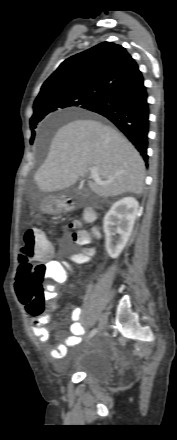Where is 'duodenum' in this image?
Returning <instances> with one entry per match:
<instances>
[{"label": "duodenum", "mask_w": 177, "mask_h": 440, "mask_svg": "<svg viewBox=\"0 0 177 440\" xmlns=\"http://www.w3.org/2000/svg\"><path fill=\"white\" fill-rule=\"evenodd\" d=\"M73 209V202L69 199H60L57 204V211H71Z\"/></svg>", "instance_id": "obj_1"}]
</instances>
